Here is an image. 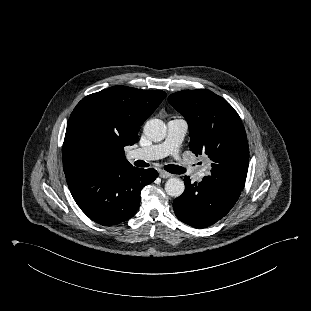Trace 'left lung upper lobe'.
I'll return each mask as SVG.
<instances>
[{"label":"left lung upper lobe","mask_w":311,"mask_h":311,"mask_svg":"<svg viewBox=\"0 0 311 311\" xmlns=\"http://www.w3.org/2000/svg\"><path fill=\"white\" fill-rule=\"evenodd\" d=\"M169 103L187 120L190 150L211 160V175L238 190H243L249 147L242 121L222 97L208 90L173 93Z\"/></svg>","instance_id":"left-lung-upper-lobe-1"}]
</instances>
